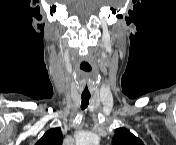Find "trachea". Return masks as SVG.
Segmentation results:
<instances>
[{
	"instance_id": "trachea-1",
	"label": "trachea",
	"mask_w": 176,
	"mask_h": 145,
	"mask_svg": "<svg viewBox=\"0 0 176 145\" xmlns=\"http://www.w3.org/2000/svg\"><path fill=\"white\" fill-rule=\"evenodd\" d=\"M81 108L82 110L86 109L89 105L90 95H82L81 96Z\"/></svg>"
}]
</instances>
